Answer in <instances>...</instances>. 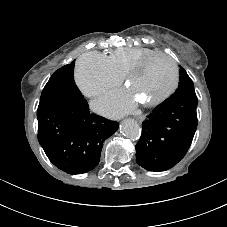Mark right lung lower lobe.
<instances>
[{"label":"right lung lower lobe","mask_w":227,"mask_h":227,"mask_svg":"<svg viewBox=\"0 0 227 227\" xmlns=\"http://www.w3.org/2000/svg\"><path fill=\"white\" fill-rule=\"evenodd\" d=\"M38 141L49 160L68 174L94 169L103 142L119 124L89 113L84 98L44 100L39 103Z\"/></svg>","instance_id":"98d812e1"}]
</instances>
